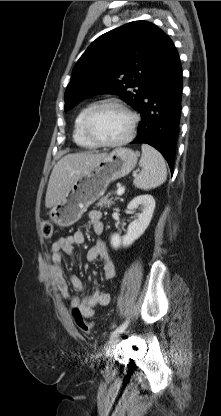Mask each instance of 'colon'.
I'll use <instances>...</instances> for the list:
<instances>
[{
  "label": "colon",
  "instance_id": "obj_1",
  "mask_svg": "<svg viewBox=\"0 0 221 416\" xmlns=\"http://www.w3.org/2000/svg\"><path fill=\"white\" fill-rule=\"evenodd\" d=\"M42 234L45 239H50L53 235V225L49 221H44L42 224ZM77 326L85 333L92 330V325L85 320L79 309L75 308L72 311Z\"/></svg>",
  "mask_w": 221,
  "mask_h": 416
}]
</instances>
